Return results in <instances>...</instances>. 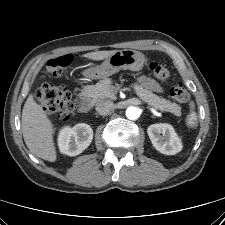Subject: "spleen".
<instances>
[{"label": "spleen", "instance_id": "spleen-1", "mask_svg": "<svg viewBox=\"0 0 225 225\" xmlns=\"http://www.w3.org/2000/svg\"><path fill=\"white\" fill-rule=\"evenodd\" d=\"M195 109V104L193 101L190 102V112L186 117V125L190 128H196L198 125V116Z\"/></svg>", "mask_w": 225, "mask_h": 225}]
</instances>
